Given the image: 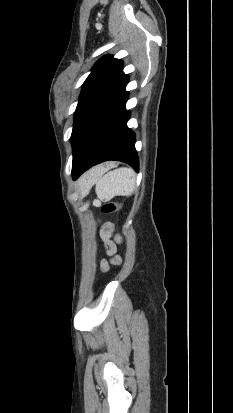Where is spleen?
I'll return each instance as SVG.
<instances>
[{
  "instance_id": "3e777b00",
  "label": "spleen",
  "mask_w": 233,
  "mask_h": 413,
  "mask_svg": "<svg viewBox=\"0 0 233 413\" xmlns=\"http://www.w3.org/2000/svg\"><path fill=\"white\" fill-rule=\"evenodd\" d=\"M96 184V194L101 201H109L114 196H130L135 189V172L130 168H118L103 175L98 171L92 178Z\"/></svg>"
}]
</instances>
